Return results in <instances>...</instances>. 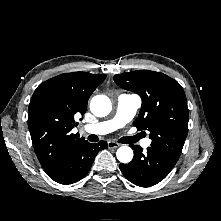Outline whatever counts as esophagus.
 Here are the masks:
<instances>
[{
	"label": "esophagus",
	"instance_id": "34e87169",
	"mask_svg": "<svg viewBox=\"0 0 221 221\" xmlns=\"http://www.w3.org/2000/svg\"><path fill=\"white\" fill-rule=\"evenodd\" d=\"M107 145L109 149H116L120 146L119 143H116L114 141H108Z\"/></svg>",
	"mask_w": 221,
	"mask_h": 221
}]
</instances>
